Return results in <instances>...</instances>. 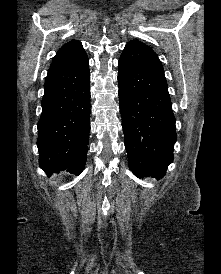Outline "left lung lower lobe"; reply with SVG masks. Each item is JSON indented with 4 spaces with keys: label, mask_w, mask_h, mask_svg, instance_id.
<instances>
[{
    "label": "left lung lower lobe",
    "mask_w": 221,
    "mask_h": 274,
    "mask_svg": "<svg viewBox=\"0 0 221 274\" xmlns=\"http://www.w3.org/2000/svg\"><path fill=\"white\" fill-rule=\"evenodd\" d=\"M118 68L129 168L137 177L161 178L173 161L177 138L163 66L156 54L128 42Z\"/></svg>",
    "instance_id": "0a47b994"
}]
</instances>
